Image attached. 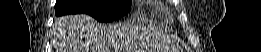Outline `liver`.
Instances as JSON below:
<instances>
[{
    "label": "liver",
    "mask_w": 261,
    "mask_h": 52,
    "mask_svg": "<svg viewBox=\"0 0 261 52\" xmlns=\"http://www.w3.org/2000/svg\"><path fill=\"white\" fill-rule=\"evenodd\" d=\"M60 52H118L122 29L99 24L92 17L67 15L55 23Z\"/></svg>",
    "instance_id": "6515ba94"
}]
</instances>
